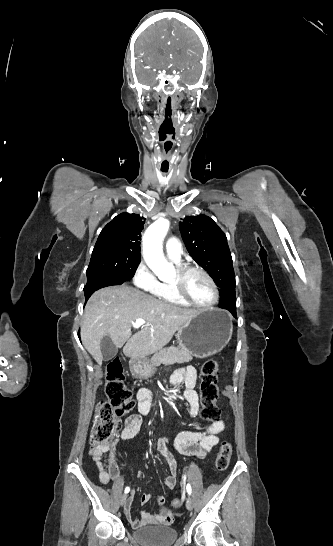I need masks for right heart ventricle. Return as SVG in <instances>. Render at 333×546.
<instances>
[{
	"label": "right heart ventricle",
	"instance_id": "1",
	"mask_svg": "<svg viewBox=\"0 0 333 546\" xmlns=\"http://www.w3.org/2000/svg\"><path fill=\"white\" fill-rule=\"evenodd\" d=\"M158 297L163 302L180 305V306H188L187 303H185L183 300H181L177 296L172 283H168V282L162 283V290H161V293L158 295Z\"/></svg>",
	"mask_w": 333,
	"mask_h": 546
}]
</instances>
